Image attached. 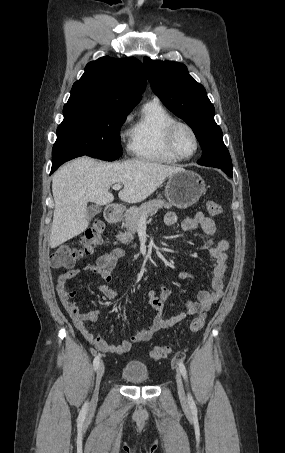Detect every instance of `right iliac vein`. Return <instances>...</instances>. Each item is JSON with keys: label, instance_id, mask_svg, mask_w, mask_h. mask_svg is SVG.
Instances as JSON below:
<instances>
[{"label": "right iliac vein", "instance_id": "right-iliac-vein-1", "mask_svg": "<svg viewBox=\"0 0 285 453\" xmlns=\"http://www.w3.org/2000/svg\"><path fill=\"white\" fill-rule=\"evenodd\" d=\"M104 370H105L104 364L101 363L98 366L97 372H96L95 388H94V393H93V397H92V401H91V407H94L96 405V403H97L100 382H101L102 377L104 375Z\"/></svg>", "mask_w": 285, "mask_h": 453}]
</instances>
